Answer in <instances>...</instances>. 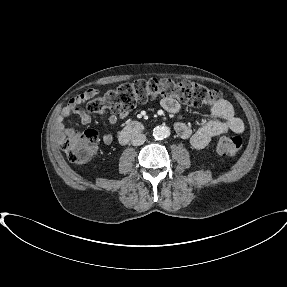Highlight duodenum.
Here are the masks:
<instances>
[{
    "label": "duodenum",
    "mask_w": 287,
    "mask_h": 287,
    "mask_svg": "<svg viewBox=\"0 0 287 287\" xmlns=\"http://www.w3.org/2000/svg\"><path fill=\"white\" fill-rule=\"evenodd\" d=\"M144 127L141 122L139 121H131L129 122L121 131L119 135L120 143L124 144L128 142V140L143 131Z\"/></svg>",
    "instance_id": "obj_1"
}]
</instances>
